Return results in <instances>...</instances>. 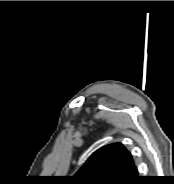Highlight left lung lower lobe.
Returning <instances> with one entry per match:
<instances>
[{
	"label": "left lung lower lobe",
	"instance_id": "obj_1",
	"mask_svg": "<svg viewBox=\"0 0 174 184\" xmlns=\"http://www.w3.org/2000/svg\"><path fill=\"white\" fill-rule=\"evenodd\" d=\"M139 180H140V176H138V172L136 169L134 178L131 180V182L129 184H134V183L138 182Z\"/></svg>",
	"mask_w": 174,
	"mask_h": 184
}]
</instances>
